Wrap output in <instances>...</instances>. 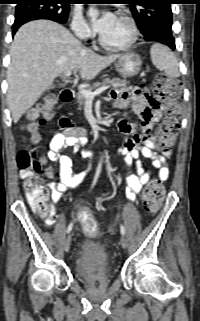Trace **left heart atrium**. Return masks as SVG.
<instances>
[{"mask_svg": "<svg viewBox=\"0 0 200 321\" xmlns=\"http://www.w3.org/2000/svg\"><path fill=\"white\" fill-rule=\"evenodd\" d=\"M91 19L95 30L102 34L112 25L115 15L110 12H103L101 14L92 12Z\"/></svg>", "mask_w": 200, "mask_h": 321, "instance_id": "39dd6f15", "label": "left heart atrium"}]
</instances>
